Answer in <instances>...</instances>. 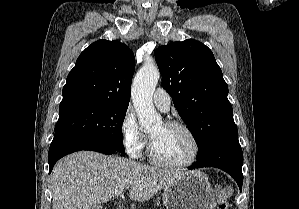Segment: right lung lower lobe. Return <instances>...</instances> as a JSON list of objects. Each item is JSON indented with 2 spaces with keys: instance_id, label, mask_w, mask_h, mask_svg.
<instances>
[{
  "instance_id": "right-lung-lower-lobe-1",
  "label": "right lung lower lobe",
  "mask_w": 299,
  "mask_h": 209,
  "mask_svg": "<svg viewBox=\"0 0 299 209\" xmlns=\"http://www.w3.org/2000/svg\"><path fill=\"white\" fill-rule=\"evenodd\" d=\"M80 150H91L104 154L119 152L116 148L102 141L87 140L62 134L55 135L48 153L49 173L61 157Z\"/></svg>"
}]
</instances>
